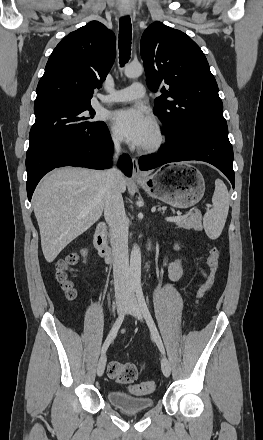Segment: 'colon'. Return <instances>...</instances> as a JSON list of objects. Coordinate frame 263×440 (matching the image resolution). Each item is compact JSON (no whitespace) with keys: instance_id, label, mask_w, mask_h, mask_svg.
<instances>
[{"instance_id":"1","label":"colon","mask_w":263,"mask_h":440,"mask_svg":"<svg viewBox=\"0 0 263 440\" xmlns=\"http://www.w3.org/2000/svg\"><path fill=\"white\" fill-rule=\"evenodd\" d=\"M220 260V251L217 246L210 245L209 256L207 258V267L209 269L208 278L199 292V298L205 297L213 285L214 276L218 269ZM78 256L71 254L65 259L59 261L56 266V280L62 290L65 292L67 298L74 299L76 297V290L73 282L70 279L72 267L77 264ZM141 367L136 363H123L118 361H111L107 366L108 376L115 382L121 384H128L133 382L139 375ZM155 383L152 381H144L131 388L134 394H146L154 391Z\"/></svg>"}]
</instances>
